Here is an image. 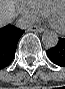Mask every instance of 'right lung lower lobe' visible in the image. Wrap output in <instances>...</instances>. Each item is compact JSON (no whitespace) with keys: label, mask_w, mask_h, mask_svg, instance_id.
<instances>
[{"label":"right lung lower lobe","mask_w":65,"mask_h":89,"mask_svg":"<svg viewBox=\"0 0 65 89\" xmlns=\"http://www.w3.org/2000/svg\"><path fill=\"white\" fill-rule=\"evenodd\" d=\"M24 32L10 24L0 26V70L12 62L18 40Z\"/></svg>","instance_id":"1"}]
</instances>
